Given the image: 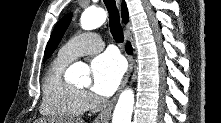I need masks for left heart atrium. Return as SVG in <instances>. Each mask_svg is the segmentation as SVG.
Instances as JSON below:
<instances>
[{
	"label": "left heart atrium",
	"mask_w": 221,
	"mask_h": 123,
	"mask_svg": "<svg viewBox=\"0 0 221 123\" xmlns=\"http://www.w3.org/2000/svg\"><path fill=\"white\" fill-rule=\"evenodd\" d=\"M124 63L119 55L106 52L95 57L91 62L93 90L110 96L118 87L124 73Z\"/></svg>",
	"instance_id": "left-heart-atrium-1"
}]
</instances>
